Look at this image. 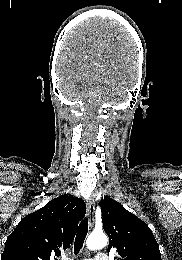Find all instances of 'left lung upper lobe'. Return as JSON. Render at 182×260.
<instances>
[{
  "label": "left lung upper lobe",
  "mask_w": 182,
  "mask_h": 260,
  "mask_svg": "<svg viewBox=\"0 0 182 260\" xmlns=\"http://www.w3.org/2000/svg\"><path fill=\"white\" fill-rule=\"evenodd\" d=\"M99 205L109 236L108 252L116 248L117 260H161L159 246L144 221L110 197H104Z\"/></svg>",
  "instance_id": "left-lung-upper-lobe-1"
}]
</instances>
